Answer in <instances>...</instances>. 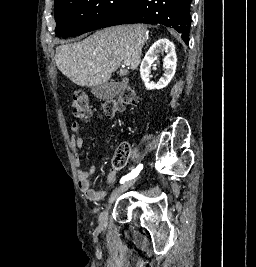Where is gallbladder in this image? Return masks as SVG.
Returning a JSON list of instances; mask_svg holds the SVG:
<instances>
[{
  "mask_svg": "<svg viewBox=\"0 0 256 267\" xmlns=\"http://www.w3.org/2000/svg\"><path fill=\"white\" fill-rule=\"evenodd\" d=\"M120 84H109V82H104V84H98V86H91V94H94L96 98L100 100H113L117 94L120 92Z\"/></svg>",
  "mask_w": 256,
  "mask_h": 267,
  "instance_id": "1",
  "label": "gallbladder"
}]
</instances>
